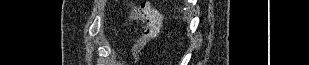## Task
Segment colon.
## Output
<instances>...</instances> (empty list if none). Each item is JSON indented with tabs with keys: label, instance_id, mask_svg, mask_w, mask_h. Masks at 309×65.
<instances>
[{
	"label": "colon",
	"instance_id": "5ec220e1",
	"mask_svg": "<svg viewBox=\"0 0 309 65\" xmlns=\"http://www.w3.org/2000/svg\"><path fill=\"white\" fill-rule=\"evenodd\" d=\"M131 18L144 23L142 34L132 43L130 48V54L134 62H137L144 47L158 35L162 20L161 16L145 2L132 4Z\"/></svg>",
	"mask_w": 309,
	"mask_h": 65
}]
</instances>
